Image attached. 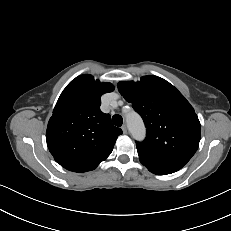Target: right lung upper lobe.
<instances>
[{
    "label": "right lung upper lobe",
    "mask_w": 231,
    "mask_h": 231,
    "mask_svg": "<svg viewBox=\"0 0 231 231\" xmlns=\"http://www.w3.org/2000/svg\"><path fill=\"white\" fill-rule=\"evenodd\" d=\"M113 90L111 83L84 74L61 93L48 122L46 140L50 153L65 169L91 171L111 154L122 130L100 110V97Z\"/></svg>",
    "instance_id": "1"
}]
</instances>
